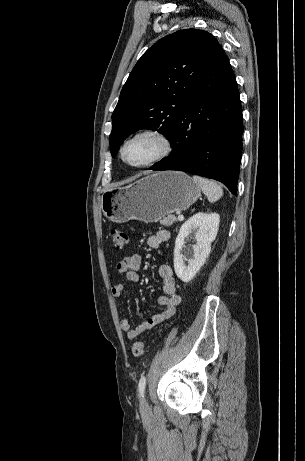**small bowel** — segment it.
Wrapping results in <instances>:
<instances>
[{"mask_svg": "<svg viewBox=\"0 0 305 461\" xmlns=\"http://www.w3.org/2000/svg\"><path fill=\"white\" fill-rule=\"evenodd\" d=\"M170 239V232L166 229H159L147 240V245L151 249H159L162 243ZM142 265V258L139 254L125 256L117 263V271L124 275L129 283H136L139 280V270ZM159 275L162 279L163 295L158 302L162 309L153 313L148 319L140 322L135 327L131 328L130 321L123 318L120 321V328L127 334L129 340H134L144 332L152 329L161 322L169 319L175 313L176 307L181 302V296L176 289V281L173 275V270L169 265L159 267ZM125 290V285L118 283L112 287V296L116 299H121Z\"/></svg>", "mask_w": 305, "mask_h": 461, "instance_id": "small-bowel-1", "label": "small bowel"}]
</instances>
